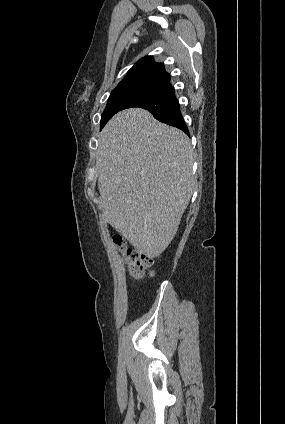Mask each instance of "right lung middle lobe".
Here are the masks:
<instances>
[{"label":"right lung middle lobe","mask_w":285,"mask_h":424,"mask_svg":"<svg viewBox=\"0 0 285 424\" xmlns=\"http://www.w3.org/2000/svg\"><path fill=\"white\" fill-rule=\"evenodd\" d=\"M164 85L158 83H138L115 88L108 99L101 117V129L117 112L126 109L134 100L141 99L160 90Z\"/></svg>","instance_id":"obj_1"}]
</instances>
